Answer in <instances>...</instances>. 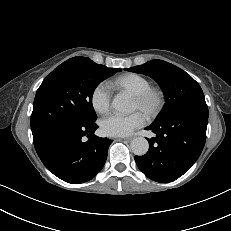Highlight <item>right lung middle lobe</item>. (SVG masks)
I'll use <instances>...</instances> for the list:
<instances>
[{
  "instance_id": "right-lung-middle-lobe-1",
  "label": "right lung middle lobe",
  "mask_w": 231,
  "mask_h": 231,
  "mask_svg": "<svg viewBox=\"0 0 231 231\" xmlns=\"http://www.w3.org/2000/svg\"><path fill=\"white\" fill-rule=\"evenodd\" d=\"M118 71L121 69L96 64L86 57H74L59 65L37 90L31 115L33 139L41 141L65 123L94 122L93 92Z\"/></svg>"
}]
</instances>
